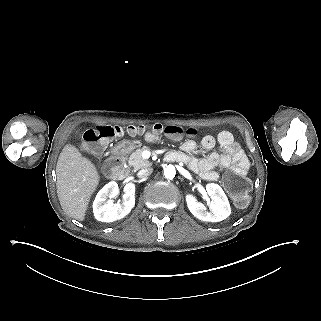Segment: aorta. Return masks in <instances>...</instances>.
<instances>
[{
    "instance_id": "762f6f07",
    "label": "aorta",
    "mask_w": 321,
    "mask_h": 321,
    "mask_svg": "<svg viewBox=\"0 0 321 321\" xmlns=\"http://www.w3.org/2000/svg\"><path fill=\"white\" fill-rule=\"evenodd\" d=\"M176 170L173 165H168L164 168V176L167 179H173L175 177Z\"/></svg>"
}]
</instances>
